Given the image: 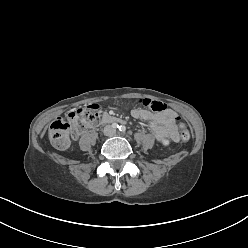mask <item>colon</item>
Instances as JSON below:
<instances>
[{
    "label": "colon",
    "instance_id": "obj_1",
    "mask_svg": "<svg viewBox=\"0 0 248 248\" xmlns=\"http://www.w3.org/2000/svg\"><path fill=\"white\" fill-rule=\"evenodd\" d=\"M154 111H163L167 106L159 101L151 99H139L137 101ZM100 116V109L97 105H89L78 108L68 114L67 118H58L53 121L49 128V139L53 146L59 150L69 147L72 138L76 137L85 128L94 125ZM180 136L183 141L190 138L189 130L184 123H179Z\"/></svg>",
    "mask_w": 248,
    "mask_h": 248
}]
</instances>
